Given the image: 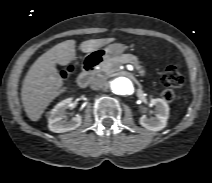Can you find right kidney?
<instances>
[{
	"instance_id": "right-kidney-1",
	"label": "right kidney",
	"mask_w": 212,
	"mask_h": 183,
	"mask_svg": "<svg viewBox=\"0 0 212 183\" xmlns=\"http://www.w3.org/2000/svg\"><path fill=\"white\" fill-rule=\"evenodd\" d=\"M72 106V98H67L59 102L49 113L48 128L55 133H63L75 130L82 123V117L76 115L71 120L65 119L66 109Z\"/></svg>"
}]
</instances>
